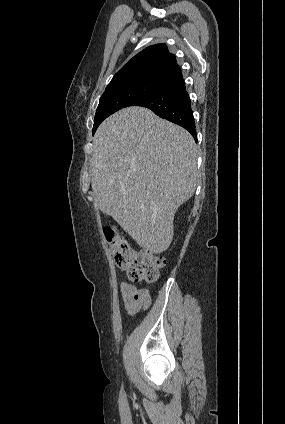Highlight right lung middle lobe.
Masks as SVG:
<instances>
[{
    "label": "right lung middle lobe",
    "mask_w": 285,
    "mask_h": 424,
    "mask_svg": "<svg viewBox=\"0 0 285 424\" xmlns=\"http://www.w3.org/2000/svg\"><path fill=\"white\" fill-rule=\"evenodd\" d=\"M163 85L160 82L145 81L106 89L99 100L94 118L93 134L105 118L128 107L135 100L155 92Z\"/></svg>",
    "instance_id": "obj_1"
}]
</instances>
